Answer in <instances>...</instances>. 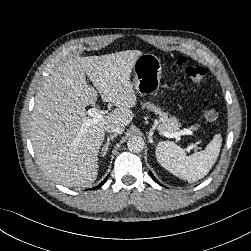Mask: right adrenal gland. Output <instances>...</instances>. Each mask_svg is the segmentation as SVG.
<instances>
[{
    "mask_svg": "<svg viewBox=\"0 0 251 251\" xmlns=\"http://www.w3.org/2000/svg\"><path fill=\"white\" fill-rule=\"evenodd\" d=\"M116 137H117V135L114 134V135L109 136V137L107 138L106 144L103 145V147H102L101 156L104 157V156L107 154V152H108V150H109L110 141L113 140V139L116 138Z\"/></svg>",
    "mask_w": 251,
    "mask_h": 251,
    "instance_id": "2a0ac1e0",
    "label": "right adrenal gland"
}]
</instances>
